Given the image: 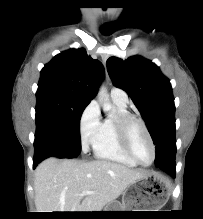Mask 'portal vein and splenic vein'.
Returning <instances> with one entry per match:
<instances>
[{"mask_svg":"<svg viewBox=\"0 0 203 219\" xmlns=\"http://www.w3.org/2000/svg\"><path fill=\"white\" fill-rule=\"evenodd\" d=\"M93 193H94V191H84V192H82L81 195L93 194Z\"/></svg>","mask_w":203,"mask_h":219,"instance_id":"obj_1","label":"portal vein and splenic vein"}]
</instances>
